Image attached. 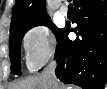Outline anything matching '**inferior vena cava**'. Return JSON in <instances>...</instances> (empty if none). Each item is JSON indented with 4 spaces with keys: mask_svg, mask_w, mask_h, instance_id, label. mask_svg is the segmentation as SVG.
Instances as JSON below:
<instances>
[{
    "mask_svg": "<svg viewBox=\"0 0 107 89\" xmlns=\"http://www.w3.org/2000/svg\"><path fill=\"white\" fill-rule=\"evenodd\" d=\"M57 63L56 61H51L49 65L46 67L44 70V76H46L50 83H51V88L50 89H55L56 85V76H55V69H56Z\"/></svg>",
    "mask_w": 107,
    "mask_h": 89,
    "instance_id": "inferior-vena-cava-1",
    "label": "inferior vena cava"
}]
</instances>
